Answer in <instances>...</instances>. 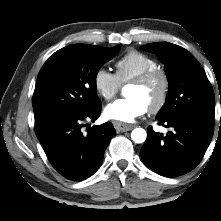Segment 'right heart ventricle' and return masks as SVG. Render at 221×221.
Segmentation results:
<instances>
[{"label":"right heart ventricle","instance_id":"e07e8e85","mask_svg":"<svg viewBox=\"0 0 221 221\" xmlns=\"http://www.w3.org/2000/svg\"><path fill=\"white\" fill-rule=\"evenodd\" d=\"M115 68L120 84H125L146 71L159 68V62L148 54L130 50L117 60Z\"/></svg>","mask_w":221,"mask_h":221}]
</instances>
